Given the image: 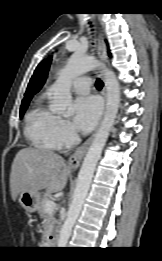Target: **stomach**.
<instances>
[{"mask_svg": "<svg viewBox=\"0 0 162 261\" xmlns=\"http://www.w3.org/2000/svg\"><path fill=\"white\" fill-rule=\"evenodd\" d=\"M40 200L39 192H21L19 196V203L28 212H35L39 207Z\"/></svg>", "mask_w": 162, "mask_h": 261, "instance_id": "0dacf381", "label": "stomach"}]
</instances>
